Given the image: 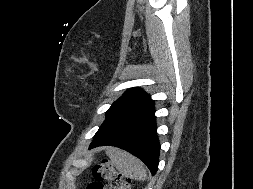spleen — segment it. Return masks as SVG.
I'll list each match as a JSON object with an SVG mask.
<instances>
[{"label": "spleen", "mask_w": 253, "mask_h": 189, "mask_svg": "<svg viewBox=\"0 0 253 189\" xmlns=\"http://www.w3.org/2000/svg\"><path fill=\"white\" fill-rule=\"evenodd\" d=\"M107 156L119 172L134 180L144 181L147 171L144 164L128 152L118 148H107Z\"/></svg>", "instance_id": "1"}]
</instances>
